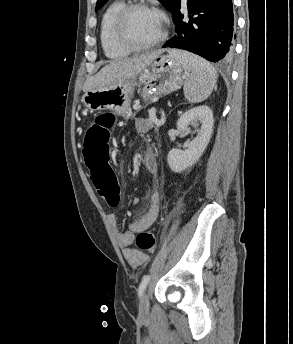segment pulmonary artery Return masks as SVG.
Wrapping results in <instances>:
<instances>
[{
	"label": "pulmonary artery",
	"mask_w": 293,
	"mask_h": 344,
	"mask_svg": "<svg viewBox=\"0 0 293 344\" xmlns=\"http://www.w3.org/2000/svg\"><path fill=\"white\" fill-rule=\"evenodd\" d=\"M182 3H183L184 5H186L187 0H182Z\"/></svg>",
	"instance_id": "e3ab8cb5"
}]
</instances>
